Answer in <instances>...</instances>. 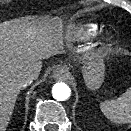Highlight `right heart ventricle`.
Segmentation results:
<instances>
[{"label": "right heart ventricle", "mask_w": 131, "mask_h": 131, "mask_svg": "<svg viewBox=\"0 0 131 131\" xmlns=\"http://www.w3.org/2000/svg\"><path fill=\"white\" fill-rule=\"evenodd\" d=\"M98 32V26L95 24H88L85 27L81 29H77L73 31V36L74 37H93L97 34Z\"/></svg>", "instance_id": "obj_1"}]
</instances>
